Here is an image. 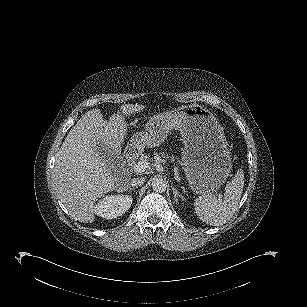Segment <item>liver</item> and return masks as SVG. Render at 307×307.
I'll use <instances>...</instances> for the list:
<instances>
[{
    "instance_id": "liver-1",
    "label": "liver",
    "mask_w": 307,
    "mask_h": 307,
    "mask_svg": "<svg viewBox=\"0 0 307 307\" xmlns=\"http://www.w3.org/2000/svg\"><path fill=\"white\" fill-rule=\"evenodd\" d=\"M121 109L128 114L143 106L128 104ZM126 132L123 117L116 115L107 121L99 109H92L78 120L56 153L53 184L75 220L93 222L94 203L116 188L119 177L111 174L109 166L121 159ZM132 145L141 150L145 144ZM100 147L104 155L97 151Z\"/></svg>"
}]
</instances>
